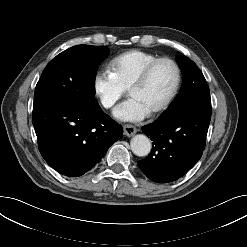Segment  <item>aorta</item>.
<instances>
[{
    "instance_id": "762f6f07",
    "label": "aorta",
    "mask_w": 247,
    "mask_h": 247,
    "mask_svg": "<svg viewBox=\"0 0 247 247\" xmlns=\"http://www.w3.org/2000/svg\"><path fill=\"white\" fill-rule=\"evenodd\" d=\"M132 152L139 156H147L151 151V142L149 138L143 134L135 135L130 142Z\"/></svg>"
}]
</instances>
